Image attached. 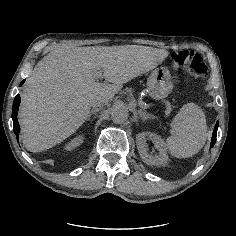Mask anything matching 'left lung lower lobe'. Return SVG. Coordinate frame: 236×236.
Wrapping results in <instances>:
<instances>
[{
    "instance_id": "0a47b994",
    "label": "left lung lower lobe",
    "mask_w": 236,
    "mask_h": 236,
    "mask_svg": "<svg viewBox=\"0 0 236 236\" xmlns=\"http://www.w3.org/2000/svg\"><path fill=\"white\" fill-rule=\"evenodd\" d=\"M217 129H218V122L216 123L214 131H213L212 140H211V147L215 144L216 136H217Z\"/></svg>"
}]
</instances>
